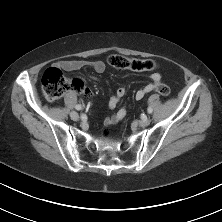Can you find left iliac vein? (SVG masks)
Returning a JSON list of instances; mask_svg holds the SVG:
<instances>
[{"mask_svg":"<svg viewBox=\"0 0 222 222\" xmlns=\"http://www.w3.org/2000/svg\"><path fill=\"white\" fill-rule=\"evenodd\" d=\"M150 124V118L144 117L142 120L139 121V125L141 127H146Z\"/></svg>","mask_w":222,"mask_h":222,"instance_id":"left-iliac-vein-1","label":"left iliac vein"}]
</instances>
